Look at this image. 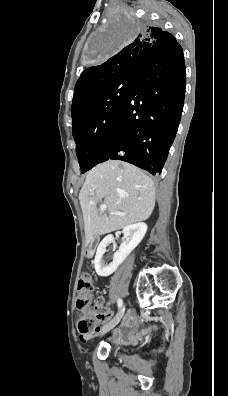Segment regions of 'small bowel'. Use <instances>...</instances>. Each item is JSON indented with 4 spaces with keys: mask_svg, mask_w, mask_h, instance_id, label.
<instances>
[{
    "mask_svg": "<svg viewBox=\"0 0 228 396\" xmlns=\"http://www.w3.org/2000/svg\"><path fill=\"white\" fill-rule=\"evenodd\" d=\"M111 316L112 312L102 307L101 311L97 315V325H95V328L90 333L80 334V340L82 342H86L91 337L96 335L101 329V324L108 320ZM140 335L141 333L137 331L136 324L132 322L131 315L127 316V318L120 324V326L111 333V336L114 340L128 341H135L139 338Z\"/></svg>",
    "mask_w": 228,
    "mask_h": 396,
    "instance_id": "small-bowel-1",
    "label": "small bowel"
}]
</instances>
